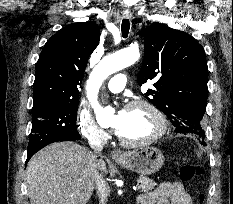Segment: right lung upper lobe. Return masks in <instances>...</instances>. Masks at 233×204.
<instances>
[{
    "label": "right lung upper lobe",
    "instance_id": "1",
    "mask_svg": "<svg viewBox=\"0 0 233 204\" xmlns=\"http://www.w3.org/2000/svg\"><path fill=\"white\" fill-rule=\"evenodd\" d=\"M99 39L96 23L79 22L62 28L46 42L36 63L33 108L79 101L78 86Z\"/></svg>",
    "mask_w": 233,
    "mask_h": 204
}]
</instances>
